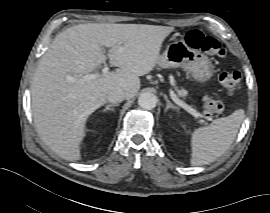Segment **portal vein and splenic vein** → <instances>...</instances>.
<instances>
[{"mask_svg": "<svg viewBox=\"0 0 270 213\" xmlns=\"http://www.w3.org/2000/svg\"><path fill=\"white\" fill-rule=\"evenodd\" d=\"M109 68L108 67H104L102 72L103 74L108 73ZM94 78V75H90V76H86L84 77V79H92ZM69 81H73V78L71 76L68 77ZM170 96L172 98V100L178 104L179 106H181L182 108H184L187 112H189L190 114H192L195 118H199L202 117V115L197 112L194 108H192L190 105L186 104L185 102H183L182 100H180L177 95L174 93L173 90H170Z\"/></svg>", "mask_w": 270, "mask_h": 213, "instance_id": "obj_1", "label": "portal vein and splenic vein"}]
</instances>
